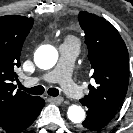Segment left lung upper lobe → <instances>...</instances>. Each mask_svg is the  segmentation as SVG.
Instances as JSON below:
<instances>
[{
    "label": "left lung upper lobe",
    "instance_id": "5c2ea615",
    "mask_svg": "<svg viewBox=\"0 0 133 133\" xmlns=\"http://www.w3.org/2000/svg\"><path fill=\"white\" fill-rule=\"evenodd\" d=\"M85 31L88 59L94 70L96 85H89V94L81 99L106 110L118 111L128 88V51L116 28L102 17L86 11L79 13Z\"/></svg>",
    "mask_w": 133,
    "mask_h": 133
}]
</instances>
